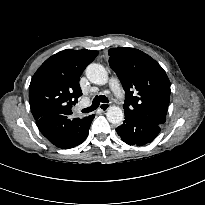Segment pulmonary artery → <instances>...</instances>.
I'll return each mask as SVG.
<instances>
[{"instance_id": "obj_1", "label": "pulmonary artery", "mask_w": 205, "mask_h": 205, "mask_svg": "<svg viewBox=\"0 0 205 205\" xmlns=\"http://www.w3.org/2000/svg\"><path fill=\"white\" fill-rule=\"evenodd\" d=\"M109 85H110V88H111L113 94L115 95V97L119 101H123L124 94H123V90H122V87H121L119 80L115 77H112L109 81Z\"/></svg>"}]
</instances>
